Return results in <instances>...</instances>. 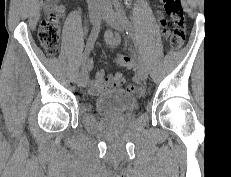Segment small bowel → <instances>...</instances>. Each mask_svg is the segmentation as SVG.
Wrapping results in <instances>:
<instances>
[{
	"mask_svg": "<svg viewBox=\"0 0 231 177\" xmlns=\"http://www.w3.org/2000/svg\"><path fill=\"white\" fill-rule=\"evenodd\" d=\"M58 0L54 4L55 10L58 14L62 15L65 12V0H61L60 3H57ZM106 42L110 46H115L120 42V38L116 34L107 33L105 36ZM123 67L126 69H135V63L133 61H130L128 63H121ZM126 84V80L121 72H118L114 75L106 74L104 70H98L95 75V79L91 81L88 85L89 91L92 94H98L102 92L103 90L115 88V87H121ZM128 90H134L135 86L132 84L126 85Z\"/></svg>",
	"mask_w": 231,
	"mask_h": 177,
	"instance_id": "c3829d8e",
	"label": "small bowel"
}]
</instances>
